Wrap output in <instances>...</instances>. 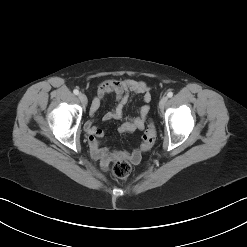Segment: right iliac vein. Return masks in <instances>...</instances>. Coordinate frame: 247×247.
Returning <instances> with one entry per match:
<instances>
[{"label":"right iliac vein","instance_id":"right-iliac-vein-1","mask_svg":"<svg viewBox=\"0 0 247 247\" xmlns=\"http://www.w3.org/2000/svg\"><path fill=\"white\" fill-rule=\"evenodd\" d=\"M78 98H79V100L81 101V103H82L84 106L87 104V97H86L85 94L80 93V94L78 95Z\"/></svg>","mask_w":247,"mask_h":247}]
</instances>
